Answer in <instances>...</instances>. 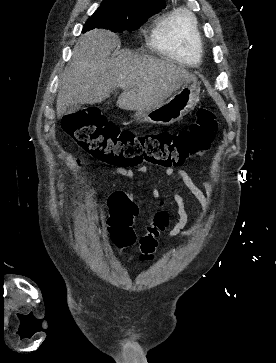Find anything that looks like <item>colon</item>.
<instances>
[{
	"instance_id": "colon-1",
	"label": "colon",
	"mask_w": 276,
	"mask_h": 363,
	"mask_svg": "<svg viewBox=\"0 0 276 363\" xmlns=\"http://www.w3.org/2000/svg\"><path fill=\"white\" fill-rule=\"evenodd\" d=\"M215 114L206 107L197 110L196 119L187 129L178 133L158 131L136 136L120 130L108 122L97 109H87L66 116L63 130L91 156L112 165L129 167L150 163L165 168L183 165L190 157L202 155L210 148L217 132ZM110 232L120 246L136 242L129 216L111 209ZM158 226H162L157 221ZM156 237L153 233L139 238L140 259L147 261L154 256Z\"/></svg>"
}]
</instances>
